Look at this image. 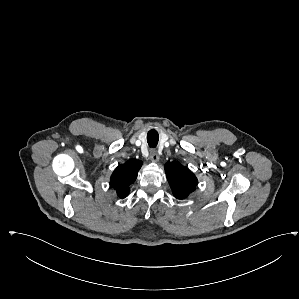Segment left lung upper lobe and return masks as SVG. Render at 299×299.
<instances>
[{"instance_id": "5c2ea615", "label": "left lung upper lobe", "mask_w": 299, "mask_h": 299, "mask_svg": "<svg viewBox=\"0 0 299 299\" xmlns=\"http://www.w3.org/2000/svg\"><path fill=\"white\" fill-rule=\"evenodd\" d=\"M165 172L172 192L177 199L186 198L198 184L195 175L178 162H167Z\"/></svg>"}]
</instances>
